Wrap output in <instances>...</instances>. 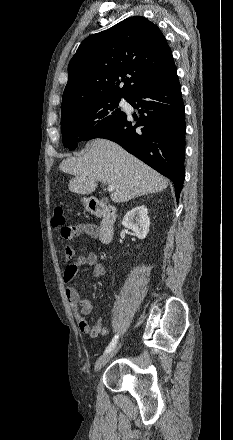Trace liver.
<instances>
[{
	"label": "liver",
	"mask_w": 233,
	"mask_h": 440,
	"mask_svg": "<svg viewBox=\"0 0 233 440\" xmlns=\"http://www.w3.org/2000/svg\"><path fill=\"white\" fill-rule=\"evenodd\" d=\"M59 168L64 173L74 175L68 188L77 194L93 193L98 181L115 186L111 194L115 203L161 192L168 186L165 177L106 139L92 140L83 156L68 157Z\"/></svg>",
	"instance_id": "liver-1"
}]
</instances>
